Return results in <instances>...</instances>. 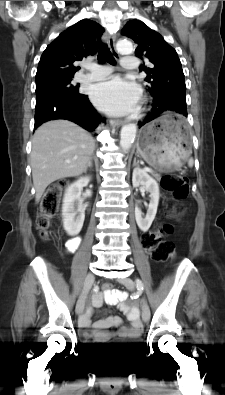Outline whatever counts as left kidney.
Segmentation results:
<instances>
[{"label": "left kidney", "instance_id": "left-kidney-1", "mask_svg": "<svg viewBox=\"0 0 225 395\" xmlns=\"http://www.w3.org/2000/svg\"><path fill=\"white\" fill-rule=\"evenodd\" d=\"M133 187H139L140 185L150 193V203L148 206L147 214L145 218L142 217V212L135 206V219L138 227L142 231H147L157 213V207L159 203V186L155 179H153L145 170L135 168L132 174Z\"/></svg>", "mask_w": 225, "mask_h": 395}]
</instances>
